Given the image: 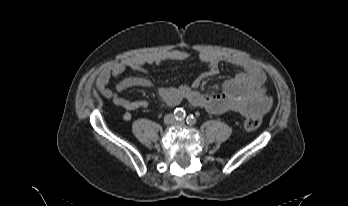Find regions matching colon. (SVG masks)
Instances as JSON below:
<instances>
[{
	"instance_id": "obj_1",
	"label": "colon",
	"mask_w": 348,
	"mask_h": 206,
	"mask_svg": "<svg viewBox=\"0 0 348 206\" xmlns=\"http://www.w3.org/2000/svg\"><path fill=\"white\" fill-rule=\"evenodd\" d=\"M262 118L259 115H250L244 120V126L249 131H254L260 127Z\"/></svg>"
}]
</instances>
